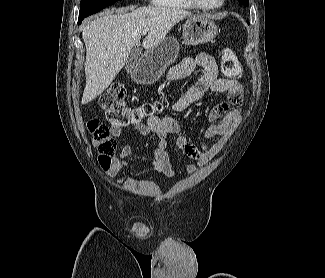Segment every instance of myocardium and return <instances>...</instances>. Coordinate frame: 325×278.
Listing matches in <instances>:
<instances>
[{"mask_svg":"<svg viewBox=\"0 0 325 278\" xmlns=\"http://www.w3.org/2000/svg\"><path fill=\"white\" fill-rule=\"evenodd\" d=\"M195 8L205 10V11H212L221 8L226 0H220V2L213 6H206L201 4L198 0H188Z\"/></svg>","mask_w":325,"mask_h":278,"instance_id":"1","label":"myocardium"}]
</instances>
